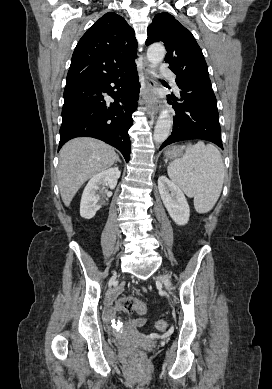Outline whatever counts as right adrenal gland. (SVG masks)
Masks as SVG:
<instances>
[{
	"label": "right adrenal gland",
	"mask_w": 272,
	"mask_h": 389,
	"mask_svg": "<svg viewBox=\"0 0 272 389\" xmlns=\"http://www.w3.org/2000/svg\"><path fill=\"white\" fill-rule=\"evenodd\" d=\"M117 161H118V162H121L118 156H117V158H116V162H117Z\"/></svg>",
	"instance_id": "1"
}]
</instances>
